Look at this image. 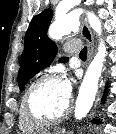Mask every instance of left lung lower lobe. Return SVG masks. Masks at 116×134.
I'll list each match as a JSON object with an SVG mask.
<instances>
[{
	"instance_id": "obj_1",
	"label": "left lung lower lobe",
	"mask_w": 116,
	"mask_h": 134,
	"mask_svg": "<svg viewBox=\"0 0 116 134\" xmlns=\"http://www.w3.org/2000/svg\"><path fill=\"white\" fill-rule=\"evenodd\" d=\"M105 96H106V93L104 94V97H105ZM103 100H104V98H103ZM93 122L100 123L99 120H93Z\"/></svg>"
}]
</instances>
